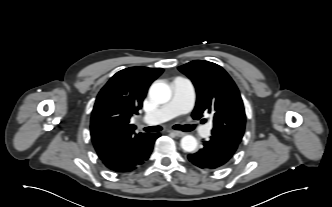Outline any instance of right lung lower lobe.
<instances>
[{
	"label": "right lung lower lobe",
	"instance_id": "right-lung-lower-lobe-1",
	"mask_svg": "<svg viewBox=\"0 0 332 207\" xmlns=\"http://www.w3.org/2000/svg\"><path fill=\"white\" fill-rule=\"evenodd\" d=\"M160 134H148L137 142L129 154L121 159L103 161L104 165L117 173L131 172L142 165L150 156L155 140Z\"/></svg>",
	"mask_w": 332,
	"mask_h": 207
}]
</instances>
